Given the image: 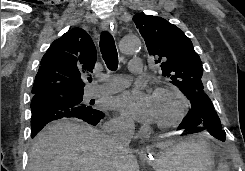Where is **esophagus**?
<instances>
[{
  "label": "esophagus",
  "mask_w": 245,
  "mask_h": 171,
  "mask_svg": "<svg viewBox=\"0 0 245 171\" xmlns=\"http://www.w3.org/2000/svg\"><path fill=\"white\" fill-rule=\"evenodd\" d=\"M101 28H102L104 31H108V30L111 28V23L109 22L108 19H104V20L102 21Z\"/></svg>",
  "instance_id": "esophagus-1"
}]
</instances>
